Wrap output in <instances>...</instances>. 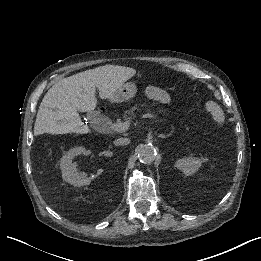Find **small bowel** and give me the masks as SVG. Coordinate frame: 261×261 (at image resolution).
I'll use <instances>...</instances> for the list:
<instances>
[{
    "label": "small bowel",
    "mask_w": 261,
    "mask_h": 261,
    "mask_svg": "<svg viewBox=\"0 0 261 261\" xmlns=\"http://www.w3.org/2000/svg\"><path fill=\"white\" fill-rule=\"evenodd\" d=\"M144 94L152 100L158 101L160 103H168L170 101L169 94L160 87L157 86H147L144 89Z\"/></svg>",
    "instance_id": "c3829d8e"
}]
</instances>
